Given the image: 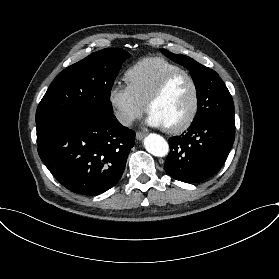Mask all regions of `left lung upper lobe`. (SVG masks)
Instances as JSON below:
<instances>
[{"label":"left lung upper lobe","mask_w":279,"mask_h":279,"mask_svg":"<svg viewBox=\"0 0 279 279\" xmlns=\"http://www.w3.org/2000/svg\"><path fill=\"white\" fill-rule=\"evenodd\" d=\"M160 51L172 61L190 70L197 92L198 111L193 122L208 116L234 119V103L225 83L214 70L185 55Z\"/></svg>","instance_id":"5c2ea615"}]
</instances>
